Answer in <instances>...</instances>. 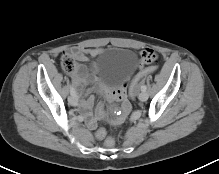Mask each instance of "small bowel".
<instances>
[{
    "label": "small bowel",
    "instance_id": "c3829d8e",
    "mask_svg": "<svg viewBox=\"0 0 219 174\" xmlns=\"http://www.w3.org/2000/svg\"><path fill=\"white\" fill-rule=\"evenodd\" d=\"M103 52V49L101 48H89V49H83V48H71L69 51V54L78 62H86L91 58H95L99 56ZM142 61L144 63H150V64H157L160 61V54L155 51L154 49H147L142 53ZM151 67V66H144L142 65L140 67V71H143L144 69ZM150 74V73H149ZM148 74H145L141 78L145 77ZM140 78V79H141ZM72 79L74 84L77 87V92L79 96H83L85 94L84 86L88 84L92 80V75L89 71V69L82 65L77 64L75 67V70L72 74ZM102 101H112L117 100L120 102V107L123 110L122 115H114L111 118L112 123L114 124H122L125 121L124 116L128 112V109L131 108L132 103L129 100V92H128V86L125 83H122L115 87L113 92L106 91V93L102 94L101 96ZM94 104V98L89 97L86 101H83L81 103V109L83 112L88 116L89 112ZM104 115V106L100 105L96 110V118H88L87 124L90 128L96 127L97 118H101Z\"/></svg>",
    "mask_w": 219,
    "mask_h": 174
}]
</instances>
